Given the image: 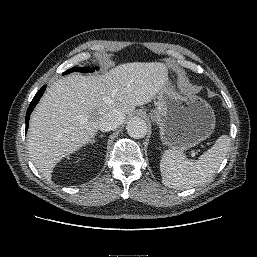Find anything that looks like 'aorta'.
<instances>
[{
  "label": "aorta",
  "instance_id": "obj_1",
  "mask_svg": "<svg viewBox=\"0 0 257 257\" xmlns=\"http://www.w3.org/2000/svg\"><path fill=\"white\" fill-rule=\"evenodd\" d=\"M126 130L130 137L140 139L146 136L147 124L142 118L133 117L128 121Z\"/></svg>",
  "mask_w": 257,
  "mask_h": 257
}]
</instances>
